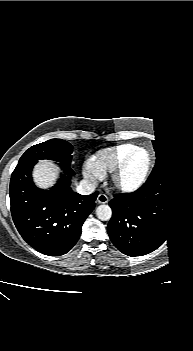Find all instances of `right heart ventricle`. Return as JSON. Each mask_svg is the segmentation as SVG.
I'll use <instances>...</instances> for the list:
<instances>
[{"label": "right heart ventricle", "instance_id": "obj_1", "mask_svg": "<svg viewBox=\"0 0 193 351\" xmlns=\"http://www.w3.org/2000/svg\"><path fill=\"white\" fill-rule=\"evenodd\" d=\"M119 151L116 150V151H109L108 153H106L103 157V160L106 162V163H111L112 161H114L115 159H117V157H119Z\"/></svg>", "mask_w": 193, "mask_h": 351}]
</instances>
